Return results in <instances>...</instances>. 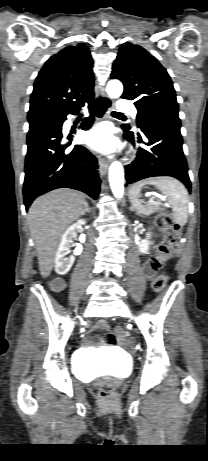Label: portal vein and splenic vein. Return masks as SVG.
<instances>
[{
  "instance_id": "1",
  "label": "portal vein and splenic vein",
  "mask_w": 208,
  "mask_h": 461,
  "mask_svg": "<svg viewBox=\"0 0 208 461\" xmlns=\"http://www.w3.org/2000/svg\"><path fill=\"white\" fill-rule=\"evenodd\" d=\"M148 204H153V205L159 204V205H160V202H159V201H155L153 198H150L149 201H148Z\"/></svg>"
}]
</instances>
